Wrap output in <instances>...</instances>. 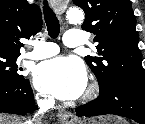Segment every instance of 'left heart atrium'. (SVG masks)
<instances>
[{
	"mask_svg": "<svg viewBox=\"0 0 145 124\" xmlns=\"http://www.w3.org/2000/svg\"><path fill=\"white\" fill-rule=\"evenodd\" d=\"M34 83L40 91L58 99L73 100L84 93L87 77L79 60L56 57L42 62L35 68Z\"/></svg>",
	"mask_w": 145,
	"mask_h": 124,
	"instance_id": "obj_1",
	"label": "left heart atrium"
}]
</instances>
